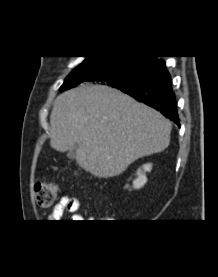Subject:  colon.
<instances>
[{
	"label": "colon",
	"mask_w": 218,
	"mask_h": 277,
	"mask_svg": "<svg viewBox=\"0 0 218 277\" xmlns=\"http://www.w3.org/2000/svg\"><path fill=\"white\" fill-rule=\"evenodd\" d=\"M58 185L52 181H41L35 184V197L40 207L51 206L58 196Z\"/></svg>",
	"instance_id": "colon-1"
}]
</instances>
